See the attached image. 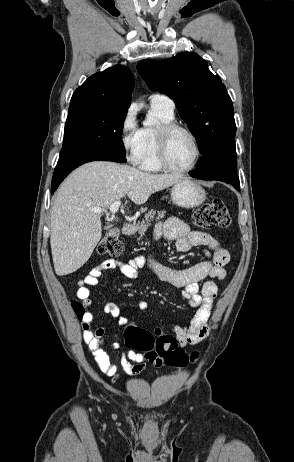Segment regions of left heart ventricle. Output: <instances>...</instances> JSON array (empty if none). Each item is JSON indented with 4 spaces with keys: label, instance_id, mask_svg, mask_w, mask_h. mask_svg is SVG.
I'll use <instances>...</instances> for the list:
<instances>
[{
    "label": "left heart ventricle",
    "instance_id": "obj_1",
    "mask_svg": "<svg viewBox=\"0 0 294 462\" xmlns=\"http://www.w3.org/2000/svg\"><path fill=\"white\" fill-rule=\"evenodd\" d=\"M195 148L191 138L183 131L175 132L169 141L168 159L172 166L184 168L191 164Z\"/></svg>",
    "mask_w": 294,
    "mask_h": 462
}]
</instances>
